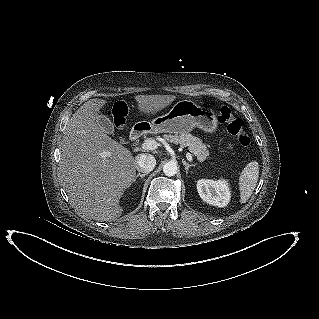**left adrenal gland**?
Instances as JSON below:
<instances>
[{
	"mask_svg": "<svg viewBox=\"0 0 319 319\" xmlns=\"http://www.w3.org/2000/svg\"><path fill=\"white\" fill-rule=\"evenodd\" d=\"M183 165L185 166V172L188 174L189 168L190 167H195L196 164H188L185 160H182Z\"/></svg>",
	"mask_w": 319,
	"mask_h": 319,
	"instance_id": "obj_1",
	"label": "left adrenal gland"
}]
</instances>
